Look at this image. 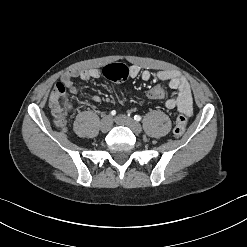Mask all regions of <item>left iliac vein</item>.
Masks as SVG:
<instances>
[{"label": "left iliac vein", "instance_id": "left-iliac-vein-1", "mask_svg": "<svg viewBox=\"0 0 247 247\" xmlns=\"http://www.w3.org/2000/svg\"><path fill=\"white\" fill-rule=\"evenodd\" d=\"M115 122L118 125L129 127L135 134H139L142 131L141 125L126 115H118L115 117Z\"/></svg>", "mask_w": 247, "mask_h": 247}]
</instances>
